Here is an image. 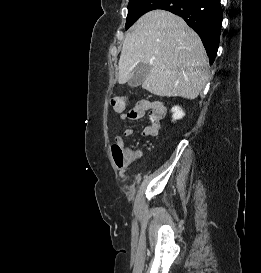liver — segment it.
I'll return each mask as SVG.
<instances>
[{"label": "liver", "instance_id": "obj_1", "mask_svg": "<svg viewBox=\"0 0 261 273\" xmlns=\"http://www.w3.org/2000/svg\"><path fill=\"white\" fill-rule=\"evenodd\" d=\"M140 63L151 66L142 88L157 96L192 100L209 79L208 57L200 37L181 17L165 10L144 14L126 34L118 82L129 81Z\"/></svg>", "mask_w": 261, "mask_h": 273}]
</instances>
